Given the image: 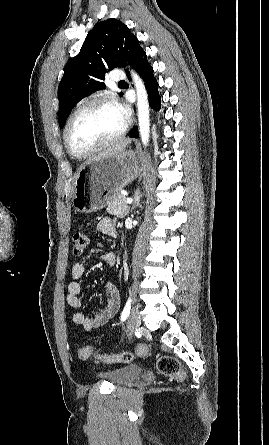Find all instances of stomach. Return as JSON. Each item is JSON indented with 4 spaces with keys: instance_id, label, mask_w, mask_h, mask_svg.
Returning a JSON list of instances; mask_svg holds the SVG:
<instances>
[{
    "instance_id": "1",
    "label": "stomach",
    "mask_w": 269,
    "mask_h": 445,
    "mask_svg": "<svg viewBox=\"0 0 269 445\" xmlns=\"http://www.w3.org/2000/svg\"><path fill=\"white\" fill-rule=\"evenodd\" d=\"M137 175L138 159L132 150L93 159L76 174L72 206L80 213L99 211Z\"/></svg>"
}]
</instances>
